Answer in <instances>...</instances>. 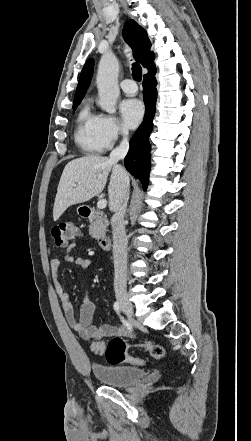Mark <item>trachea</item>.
Here are the masks:
<instances>
[{
  "instance_id": "obj_1",
  "label": "trachea",
  "mask_w": 251,
  "mask_h": 441,
  "mask_svg": "<svg viewBox=\"0 0 251 441\" xmlns=\"http://www.w3.org/2000/svg\"><path fill=\"white\" fill-rule=\"evenodd\" d=\"M132 76L134 80L140 82L142 80V68L139 64L133 63L132 65Z\"/></svg>"
}]
</instances>
